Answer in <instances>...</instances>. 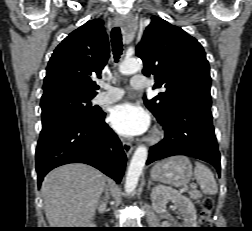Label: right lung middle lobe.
Wrapping results in <instances>:
<instances>
[{"mask_svg":"<svg viewBox=\"0 0 252 231\" xmlns=\"http://www.w3.org/2000/svg\"><path fill=\"white\" fill-rule=\"evenodd\" d=\"M94 96L61 94L41 100L42 125L63 117L91 118L98 110L91 106Z\"/></svg>","mask_w":252,"mask_h":231,"instance_id":"right-lung-middle-lobe-1","label":"right lung middle lobe"}]
</instances>
